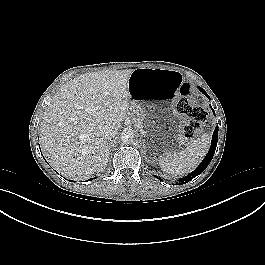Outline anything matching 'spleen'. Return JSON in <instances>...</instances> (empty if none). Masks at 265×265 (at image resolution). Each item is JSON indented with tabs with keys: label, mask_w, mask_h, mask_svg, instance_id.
I'll use <instances>...</instances> for the list:
<instances>
[{
	"label": "spleen",
	"mask_w": 265,
	"mask_h": 265,
	"mask_svg": "<svg viewBox=\"0 0 265 265\" xmlns=\"http://www.w3.org/2000/svg\"><path fill=\"white\" fill-rule=\"evenodd\" d=\"M210 144V137L202 135L197 140L177 153L160 156L159 164L164 172L171 175H183L195 169L205 156Z\"/></svg>",
	"instance_id": "3e777b00"
}]
</instances>
